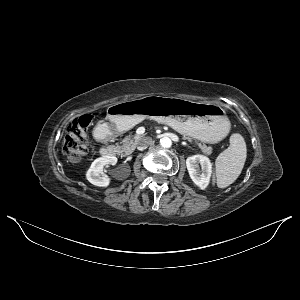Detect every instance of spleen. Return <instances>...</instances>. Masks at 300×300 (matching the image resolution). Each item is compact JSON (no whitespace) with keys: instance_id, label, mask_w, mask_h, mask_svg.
I'll return each instance as SVG.
<instances>
[{"instance_id":"3e777b00","label":"spleen","mask_w":300,"mask_h":300,"mask_svg":"<svg viewBox=\"0 0 300 300\" xmlns=\"http://www.w3.org/2000/svg\"><path fill=\"white\" fill-rule=\"evenodd\" d=\"M246 143L238 134L230 137V146L224 150L215 162V181L219 188L231 185L241 174L246 161Z\"/></svg>"}]
</instances>
